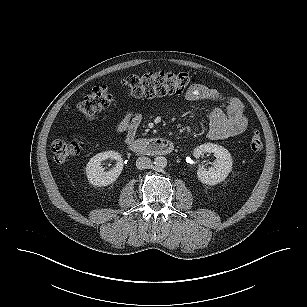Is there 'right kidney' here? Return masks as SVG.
<instances>
[{"mask_svg": "<svg viewBox=\"0 0 307 307\" xmlns=\"http://www.w3.org/2000/svg\"><path fill=\"white\" fill-rule=\"evenodd\" d=\"M111 158L117 161L116 166L108 172L104 171L101 162ZM123 169L121 155L115 151H105L93 156L86 165V174L89 182L94 186H107L117 180Z\"/></svg>", "mask_w": 307, "mask_h": 307, "instance_id": "right-kidney-1", "label": "right kidney"}]
</instances>
